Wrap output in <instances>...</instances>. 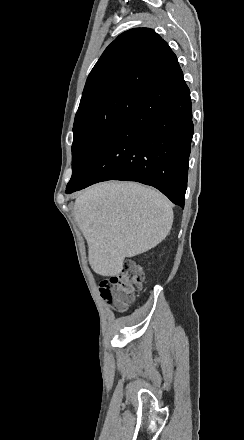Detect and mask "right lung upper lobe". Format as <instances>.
Masks as SVG:
<instances>
[{
	"label": "right lung upper lobe",
	"instance_id": "right-lung-upper-lobe-1",
	"mask_svg": "<svg viewBox=\"0 0 244 440\" xmlns=\"http://www.w3.org/2000/svg\"><path fill=\"white\" fill-rule=\"evenodd\" d=\"M179 69L176 55L154 30L130 29L105 49L87 78L80 104L119 94L142 97Z\"/></svg>",
	"mask_w": 244,
	"mask_h": 440
}]
</instances>
